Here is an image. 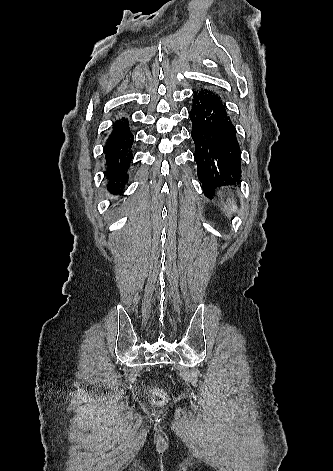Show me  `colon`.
<instances>
[{"label":"colon","mask_w":333,"mask_h":471,"mask_svg":"<svg viewBox=\"0 0 333 471\" xmlns=\"http://www.w3.org/2000/svg\"><path fill=\"white\" fill-rule=\"evenodd\" d=\"M151 400L154 404L161 405L165 402V394L160 389H155L152 392Z\"/></svg>","instance_id":"1"}]
</instances>
